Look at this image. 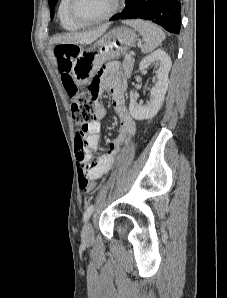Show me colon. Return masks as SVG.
I'll return each instance as SVG.
<instances>
[{"label":"colon","instance_id":"1","mask_svg":"<svg viewBox=\"0 0 227 298\" xmlns=\"http://www.w3.org/2000/svg\"><path fill=\"white\" fill-rule=\"evenodd\" d=\"M79 54V47L75 44H59L55 48V56L59 70L62 74V83L68 96L71 97V112L76 125L79 129L76 132L75 148L78 160L85 165V130H82V125H89L92 117H96V111L90 112V107H95V103H90L89 95L91 92L80 91L70 72L73 67L74 59ZM79 186L84 192H92L95 190L94 182L85 175L83 171L79 173Z\"/></svg>","mask_w":227,"mask_h":298}]
</instances>
